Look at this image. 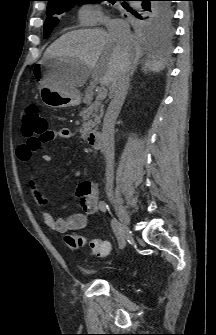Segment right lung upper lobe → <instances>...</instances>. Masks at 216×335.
Listing matches in <instances>:
<instances>
[{"instance_id":"cb5924a9","label":"right lung upper lobe","mask_w":216,"mask_h":335,"mask_svg":"<svg viewBox=\"0 0 216 335\" xmlns=\"http://www.w3.org/2000/svg\"><path fill=\"white\" fill-rule=\"evenodd\" d=\"M48 1V5L51 3H55V2H60V1H67V0H46Z\"/></svg>"}]
</instances>
